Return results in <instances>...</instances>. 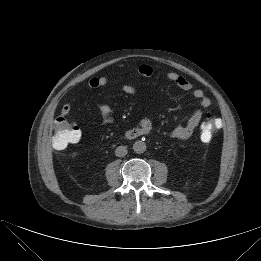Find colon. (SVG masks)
I'll return each mask as SVG.
<instances>
[{
  "label": "colon",
  "instance_id": "1",
  "mask_svg": "<svg viewBox=\"0 0 261 261\" xmlns=\"http://www.w3.org/2000/svg\"><path fill=\"white\" fill-rule=\"evenodd\" d=\"M220 127L218 116L208 113L206 120L201 125V139L210 141ZM81 139L79 128L72 125L64 117H58L53 123L52 145L55 149H64L70 144H75Z\"/></svg>",
  "mask_w": 261,
  "mask_h": 261
}]
</instances>
